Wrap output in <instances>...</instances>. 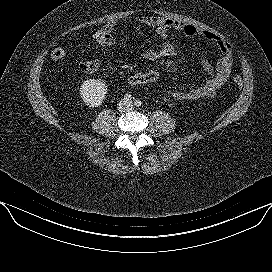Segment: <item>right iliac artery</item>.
I'll return each mask as SVG.
<instances>
[{
  "label": "right iliac artery",
  "mask_w": 272,
  "mask_h": 272,
  "mask_svg": "<svg viewBox=\"0 0 272 272\" xmlns=\"http://www.w3.org/2000/svg\"><path fill=\"white\" fill-rule=\"evenodd\" d=\"M132 96L131 94H125L122 98V100H124L125 102L131 101Z\"/></svg>",
  "instance_id": "82829eb1"
}]
</instances>
